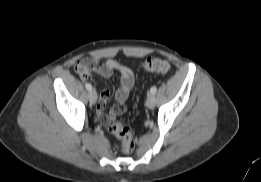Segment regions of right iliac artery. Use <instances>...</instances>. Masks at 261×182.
I'll return each mask as SVG.
<instances>
[{
  "label": "right iliac artery",
  "instance_id": "1",
  "mask_svg": "<svg viewBox=\"0 0 261 182\" xmlns=\"http://www.w3.org/2000/svg\"><path fill=\"white\" fill-rule=\"evenodd\" d=\"M85 88H86L87 90H89V91L92 90V86H91V84H89V83H86V84H85Z\"/></svg>",
  "mask_w": 261,
  "mask_h": 182
}]
</instances>
